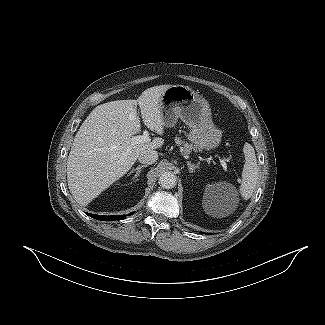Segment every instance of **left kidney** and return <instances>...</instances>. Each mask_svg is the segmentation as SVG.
<instances>
[{
  "label": "left kidney",
  "instance_id": "obj_1",
  "mask_svg": "<svg viewBox=\"0 0 325 325\" xmlns=\"http://www.w3.org/2000/svg\"><path fill=\"white\" fill-rule=\"evenodd\" d=\"M227 188L228 185L226 183L208 185L205 189L204 201L206 203H221L225 199Z\"/></svg>",
  "mask_w": 325,
  "mask_h": 325
}]
</instances>
